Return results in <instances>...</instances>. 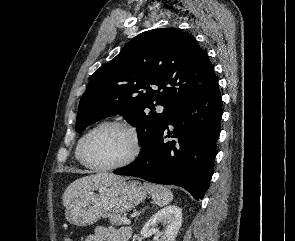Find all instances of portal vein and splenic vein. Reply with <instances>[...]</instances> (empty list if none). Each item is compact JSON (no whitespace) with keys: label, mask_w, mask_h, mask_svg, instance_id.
<instances>
[{"label":"portal vein and splenic vein","mask_w":295,"mask_h":241,"mask_svg":"<svg viewBox=\"0 0 295 241\" xmlns=\"http://www.w3.org/2000/svg\"><path fill=\"white\" fill-rule=\"evenodd\" d=\"M124 223L127 224V225H129L131 223V221L129 219L125 218L124 219Z\"/></svg>","instance_id":"obj_1"}]
</instances>
